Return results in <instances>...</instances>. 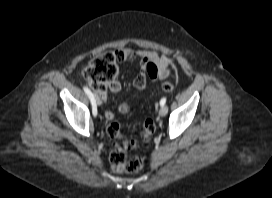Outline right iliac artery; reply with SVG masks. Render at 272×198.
<instances>
[{
	"label": "right iliac artery",
	"instance_id": "1",
	"mask_svg": "<svg viewBox=\"0 0 272 198\" xmlns=\"http://www.w3.org/2000/svg\"><path fill=\"white\" fill-rule=\"evenodd\" d=\"M83 90L88 95V97L90 98V101H91V104H92V112H93V115L96 116L97 115V105H96L95 97H94L93 93L90 91V89L88 87L84 86Z\"/></svg>",
	"mask_w": 272,
	"mask_h": 198
}]
</instances>
